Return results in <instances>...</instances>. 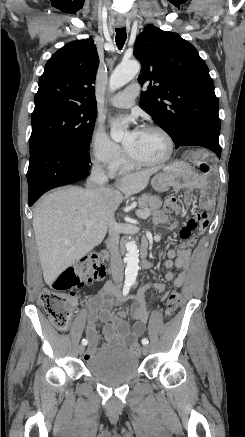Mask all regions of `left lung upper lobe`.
I'll use <instances>...</instances> for the list:
<instances>
[{
	"label": "left lung upper lobe",
	"mask_w": 245,
	"mask_h": 437,
	"mask_svg": "<svg viewBox=\"0 0 245 437\" xmlns=\"http://www.w3.org/2000/svg\"><path fill=\"white\" fill-rule=\"evenodd\" d=\"M138 81H149L140 107L173 139L176 147L193 128L220 132L219 104L209 69L198 51L178 34L148 25L136 39Z\"/></svg>",
	"instance_id": "obj_1"
}]
</instances>
